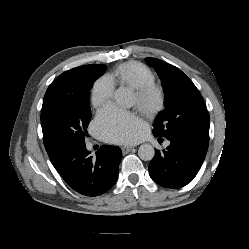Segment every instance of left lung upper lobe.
Segmentation results:
<instances>
[{
    "label": "left lung upper lobe",
    "instance_id": "5c2ea615",
    "mask_svg": "<svg viewBox=\"0 0 249 249\" xmlns=\"http://www.w3.org/2000/svg\"><path fill=\"white\" fill-rule=\"evenodd\" d=\"M145 60L160 76L165 93V109L155 119L154 136L209 142V114L193 82L167 62L152 57Z\"/></svg>",
    "mask_w": 249,
    "mask_h": 249
}]
</instances>
